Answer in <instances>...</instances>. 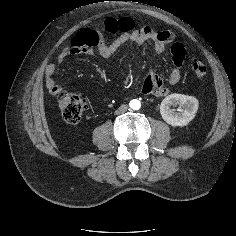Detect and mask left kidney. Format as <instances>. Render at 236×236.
I'll use <instances>...</instances> for the list:
<instances>
[{
	"instance_id": "left-kidney-1",
	"label": "left kidney",
	"mask_w": 236,
	"mask_h": 236,
	"mask_svg": "<svg viewBox=\"0 0 236 236\" xmlns=\"http://www.w3.org/2000/svg\"><path fill=\"white\" fill-rule=\"evenodd\" d=\"M179 105V112L171 109V106ZM199 107L198 100L193 96L183 94H171L163 99L160 105V114L169 125L185 126L194 119Z\"/></svg>"
}]
</instances>
